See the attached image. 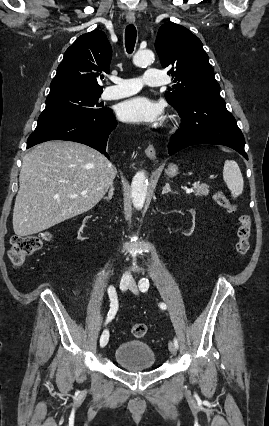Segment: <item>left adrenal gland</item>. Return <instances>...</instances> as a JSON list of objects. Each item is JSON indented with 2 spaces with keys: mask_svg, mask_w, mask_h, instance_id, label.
I'll use <instances>...</instances> for the list:
<instances>
[{
  "mask_svg": "<svg viewBox=\"0 0 269 426\" xmlns=\"http://www.w3.org/2000/svg\"><path fill=\"white\" fill-rule=\"evenodd\" d=\"M169 192L174 193V191L171 190L169 183H166L163 187L162 194H167Z\"/></svg>",
  "mask_w": 269,
  "mask_h": 426,
  "instance_id": "obj_1",
  "label": "left adrenal gland"
}]
</instances>
